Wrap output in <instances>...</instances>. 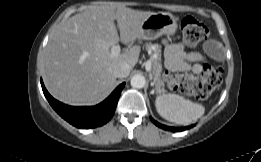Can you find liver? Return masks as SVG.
<instances>
[{
    "label": "liver",
    "instance_id": "1",
    "mask_svg": "<svg viewBox=\"0 0 261 162\" xmlns=\"http://www.w3.org/2000/svg\"><path fill=\"white\" fill-rule=\"evenodd\" d=\"M154 13L100 5L70 17L51 35L43 56L47 90L71 105H94L104 100L114 88V68L126 63L133 69L141 51L133 46L112 57L110 48L119 41L133 44L140 39L142 21Z\"/></svg>",
    "mask_w": 261,
    "mask_h": 162
}]
</instances>
